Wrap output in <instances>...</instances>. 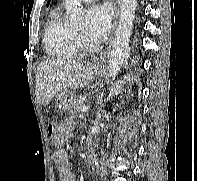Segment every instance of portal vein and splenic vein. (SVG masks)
Wrapping results in <instances>:
<instances>
[{
    "label": "portal vein and splenic vein",
    "mask_w": 197,
    "mask_h": 181,
    "mask_svg": "<svg viewBox=\"0 0 197 181\" xmlns=\"http://www.w3.org/2000/svg\"><path fill=\"white\" fill-rule=\"evenodd\" d=\"M88 109H89V107H87V106L84 105V106L81 108V112L86 113V112L88 111Z\"/></svg>",
    "instance_id": "portal-vein-and-splenic-vein-1"
}]
</instances>
